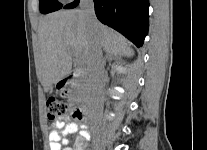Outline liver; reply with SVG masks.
I'll return each mask as SVG.
<instances>
[{"label": "liver", "instance_id": "obj_1", "mask_svg": "<svg viewBox=\"0 0 207 150\" xmlns=\"http://www.w3.org/2000/svg\"><path fill=\"white\" fill-rule=\"evenodd\" d=\"M96 28L101 49L107 54H134L121 35L98 21ZM94 35V29L88 25L81 10L58 11L40 20L38 37L45 92L71 73L73 55L78 56L82 64H88Z\"/></svg>", "mask_w": 207, "mask_h": 150}]
</instances>
